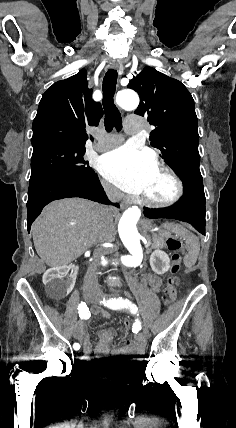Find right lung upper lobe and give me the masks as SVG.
<instances>
[{"label": "right lung upper lobe", "instance_id": "right-lung-upper-lobe-1", "mask_svg": "<svg viewBox=\"0 0 236 428\" xmlns=\"http://www.w3.org/2000/svg\"><path fill=\"white\" fill-rule=\"evenodd\" d=\"M86 70L54 83L42 96L33 121V148L48 143L86 142L85 127L97 126L103 115L88 89Z\"/></svg>", "mask_w": 236, "mask_h": 428}]
</instances>
